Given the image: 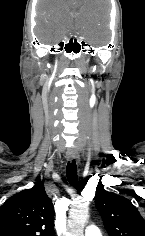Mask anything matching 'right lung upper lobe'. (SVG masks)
<instances>
[{
	"label": "right lung upper lobe",
	"instance_id": "right-lung-upper-lobe-1",
	"mask_svg": "<svg viewBox=\"0 0 145 236\" xmlns=\"http://www.w3.org/2000/svg\"><path fill=\"white\" fill-rule=\"evenodd\" d=\"M54 206L42 182L11 196L0 208V236H55Z\"/></svg>",
	"mask_w": 145,
	"mask_h": 236
}]
</instances>
